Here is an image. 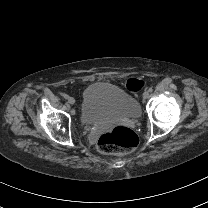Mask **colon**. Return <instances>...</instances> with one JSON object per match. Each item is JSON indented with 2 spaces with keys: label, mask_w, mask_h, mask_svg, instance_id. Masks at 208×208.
Here are the masks:
<instances>
[{
  "label": "colon",
  "mask_w": 208,
  "mask_h": 208,
  "mask_svg": "<svg viewBox=\"0 0 208 208\" xmlns=\"http://www.w3.org/2000/svg\"><path fill=\"white\" fill-rule=\"evenodd\" d=\"M145 86V81L139 79H128L125 89L129 92H138ZM139 135L126 127H114L104 133L98 140V148L104 154L129 153L139 144Z\"/></svg>",
  "instance_id": "obj_1"
}]
</instances>
